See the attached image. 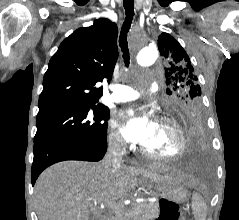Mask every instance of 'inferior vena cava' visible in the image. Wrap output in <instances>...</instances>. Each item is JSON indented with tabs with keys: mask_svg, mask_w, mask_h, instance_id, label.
Masks as SVG:
<instances>
[{
	"mask_svg": "<svg viewBox=\"0 0 239 220\" xmlns=\"http://www.w3.org/2000/svg\"><path fill=\"white\" fill-rule=\"evenodd\" d=\"M125 149L126 143L123 140L110 141L108 150L102 161L103 165L108 167H120Z\"/></svg>",
	"mask_w": 239,
	"mask_h": 220,
	"instance_id": "602c4592",
	"label": "inferior vena cava"
}]
</instances>
